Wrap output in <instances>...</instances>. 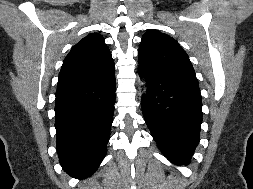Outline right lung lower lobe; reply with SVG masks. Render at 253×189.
<instances>
[{"mask_svg": "<svg viewBox=\"0 0 253 189\" xmlns=\"http://www.w3.org/2000/svg\"><path fill=\"white\" fill-rule=\"evenodd\" d=\"M115 103V72L89 83H58L55 99L57 152L73 177L93 174L106 155Z\"/></svg>", "mask_w": 253, "mask_h": 189, "instance_id": "right-lung-lower-lobe-1", "label": "right lung lower lobe"}]
</instances>
